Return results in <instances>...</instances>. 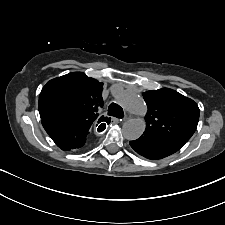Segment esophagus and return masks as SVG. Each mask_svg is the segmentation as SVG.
Masks as SVG:
<instances>
[{
	"label": "esophagus",
	"instance_id": "1",
	"mask_svg": "<svg viewBox=\"0 0 225 225\" xmlns=\"http://www.w3.org/2000/svg\"><path fill=\"white\" fill-rule=\"evenodd\" d=\"M126 119H127V118H126ZM112 121H113L114 123H119V121H122V120H119V119L114 118V119H112Z\"/></svg>",
	"mask_w": 225,
	"mask_h": 225
}]
</instances>
